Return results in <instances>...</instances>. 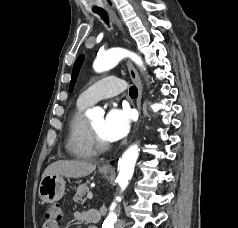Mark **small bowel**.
<instances>
[{"label":"small bowel","mask_w":238,"mask_h":228,"mask_svg":"<svg viewBox=\"0 0 238 228\" xmlns=\"http://www.w3.org/2000/svg\"><path fill=\"white\" fill-rule=\"evenodd\" d=\"M75 219L77 221H87L86 217H85V213H76L74 215ZM43 228H60L58 222H55V223H51V224H48L46 226H44Z\"/></svg>","instance_id":"c3829d8e"}]
</instances>
